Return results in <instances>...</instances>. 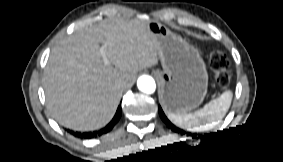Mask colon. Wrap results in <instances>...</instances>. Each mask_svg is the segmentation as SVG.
Returning a JSON list of instances; mask_svg holds the SVG:
<instances>
[{
  "mask_svg": "<svg viewBox=\"0 0 283 162\" xmlns=\"http://www.w3.org/2000/svg\"><path fill=\"white\" fill-rule=\"evenodd\" d=\"M211 64L216 70L215 77L217 82L221 85H226L231 77L226 56L220 50H215L211 57Z\"/></svg>",
  "mask_w": 283,
  "mask_h": 162,
  "instance_id": "5ec220e1",
  "label": "colon"
}]
</instances>
